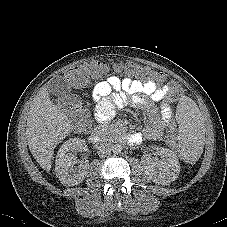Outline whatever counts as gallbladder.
<instances>
[{
	"mask_svg": "<svg viewBox=\"0 0 227 227\" xmlns=\"http://www.w3.org/2000/svg\"><path fill=\"white\" fill-rule=\"evenodd\" d=\"M47 88L50 94L57 96L59 99L63 101L70 100L71 88L62 77L57 76L52 78Z\"/></svg>",
	"mask_w": 227,
	"mask_h": 227,
	"instance_id": "gallbladder-1",
	"label": "gallbladder"
}]
</instances>
